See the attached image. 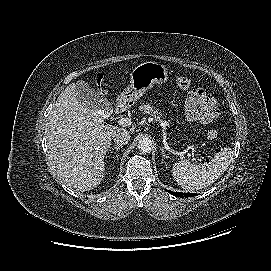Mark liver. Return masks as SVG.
Segmentation results:
<instances>
[{
  "label": "liver",
  "instance_id": "liver-1",
  "mask_svg": "<svg viewBox=\"0 0 271 271\" xmlns=\"http://www.w3.org/2000/svg\"><path fill=\"white\" fill-rule=\"evenodd\" d=\"M104 118L78 102L75 83L58 96L47 124L48 160L63 182L79 191H89L104 176V157L114 132Z\"/></svg>",
  "mask_w": 271,
  "mask_h": 271
}]
</instances>
